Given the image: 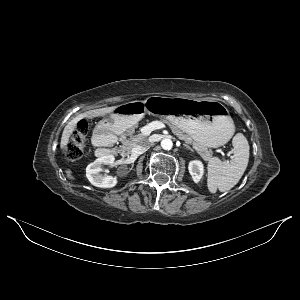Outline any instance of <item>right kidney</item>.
<instances>
[{"label":"right kidney","mask_w":300,"mask_h":300,"mask_svg":"<svg viewBox=\"0 0 300 300\" xmlns=\"http://www.w3.org/2000/svg\"><path fill=\"white\" fill-rule=\"evenodd\" d=\"M114 160L113 155H105L97 158L86 167V177L92 185L100 188H112L117 184L116 177L100 174L102 165H112Z\"/></svg>","instance_id":"right-kidney-1"}]
</instances>
